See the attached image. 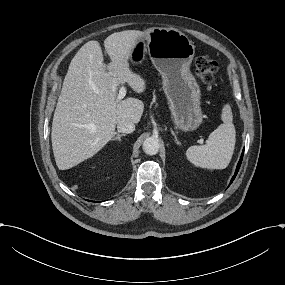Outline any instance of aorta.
Masks as SVG:
<instances>
[{"instance_id": "obj_1", "label": "aorta", "mask_w": 285, "mask_h": 285, "mask_svg": "<svg viewBox=\"0 0 285 285\" xmlns=\"http://www.w3.org/2000/svg\"><path fill=\"white\" fill-rule=\"evenodd\" d=\"M160 148V142L157 137L151 136L144 140L143 151L148 155H155Z\"/></svg>"}]
</instances>
